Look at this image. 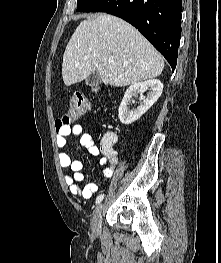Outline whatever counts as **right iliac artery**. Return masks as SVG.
I'll use <instances>...</instances> for the list:
<instances>
[{"instance_id": "1", "label": "right iliac artery", "mask_w": 221, "mask_h": 263, "mask_svg": "<svg viewBox=\"0 0 221 263\" xmlns=\"http://www.w3.org/2000/svg\"><path fill=\"white\" fill-rule=\"evenodd\" d=\"M104 198V194H100L99 196H97L96 198V204L100 203Z\"/></svg>"}]
</instances>
